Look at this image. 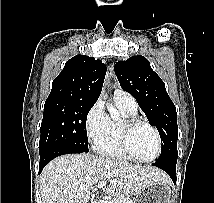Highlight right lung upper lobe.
I'll return each mask as SVG.
<instances>
[{"instance_id": "obj_1", "label": "right lung upper lobe", "mask_w": 214, "mask_h": 203, "mask_svg": "<svg viewBox=\"0 0 214 203\" xmlns=\"http://www.w3.org/2000/svg\"><path fill=\"white\" fill-rule=\"evenodd\" d=\"M106 65L85 55L68 60L52 83L47 100H69L95 103L101 93Z\"/></svg>"}]
</instances>
